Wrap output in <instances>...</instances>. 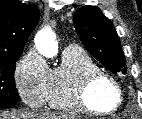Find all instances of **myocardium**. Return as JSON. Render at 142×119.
Listing matches in <instances>:
<instances>
[{
	"label": "myocardium",
	"instance_id": "myocardium-1",
	"mask_svg": "<svg viewBox=\"0 0 142 119\" xmlns=\"http://www.w3.org/2000/svg\"><path fill=\"white\" fill-rule=\"evenodd\" d=\"M108 81L117 92V102L109 110H98L89 102V93L91 88L99 81ZM71 98L78 109L86 114L96 116H107L115 113L123 103V92L118 81L109 73L96 70L85 73L73 85L71 89Z\"/></svg>",
	"mask_w": 142,
	"mask_h": 119
}]
</instances>
